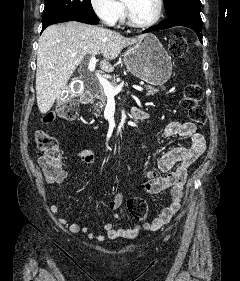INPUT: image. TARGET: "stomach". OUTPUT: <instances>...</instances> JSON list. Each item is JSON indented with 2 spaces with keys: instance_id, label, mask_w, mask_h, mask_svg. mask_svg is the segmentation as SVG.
<instances>
[{
  "instance_id": "stomach-1",
  "label": "stomach",
  "mask_w": 240,
  "mask_h": 281,
  "mask_svg": "<svg viewBox=\"0 0 240 281\" xmlns=\"http://www.w3.org/2000/svg\"><path fill=\"white\" fill-rule=\"evenodd\" d=\"M127 69L136 77L152 85H162L172 74L168 53L152 34L130 47L124 54Z\"/></svg>"
}]
</instances>
